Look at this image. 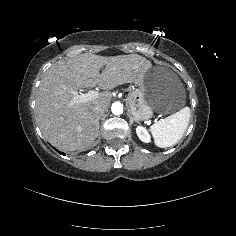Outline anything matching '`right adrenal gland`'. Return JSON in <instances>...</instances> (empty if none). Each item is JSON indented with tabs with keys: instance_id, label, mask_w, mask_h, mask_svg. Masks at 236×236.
<instances>
[{
	"instance_id": "1",
	"label": "right adrenal gland",
	"mask_w": 236,
	"mask_h": 236,
	"mask_svg": "<svg viewBox=\"0 0 236 236\" xmlns=\"http://www.w3.org/2000/svg\"><path fill=\"white\" fill-rule=\"evenodd\" d=\"M99 119H100V118H99ZM99 128H100V124H99V122H97V133H96V137L99 136Z\"/></svg>"
}]
</instances>
